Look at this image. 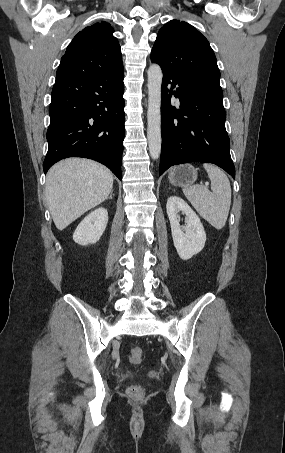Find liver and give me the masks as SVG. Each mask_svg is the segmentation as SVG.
<instances>
[{
	"mask_svg": "<svg viewBox=\"0 0 285 453\" xmlns=\"http://www.w3.org/2000/svg\"><path fill=\"white\" fill-rule=\"evenodd\" d=\"M113 174L88 159L69 158L52 166L46 176V200L58 230H64L88 210L107 199Z\"/></svg>",
	"mask_w": 285,
	"mask_h": 453,
	"instance_id": "6515ba94",
	"label": "liver"
}]
</instances>
